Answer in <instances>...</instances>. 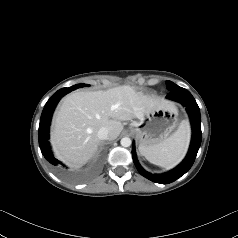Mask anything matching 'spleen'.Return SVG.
<instances>
[{"instance_id":"spleen-1","label":"spleen","mask_w":238,"mask_h":238,"mask_svg":"<svg viewBox=\"0 0 238 238\" xmlns=\"http://www.w3.org/2000/svg\"><path fill=\"white\" fill-rule=\"evenodd\" d=\"M190 126L183 120L178 129L163 142L140 149L145 158L158 166L166 169L176 166L185 156L190 142Z\"/></svg>"}]
</instances>
